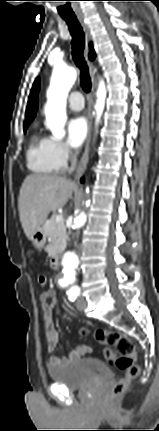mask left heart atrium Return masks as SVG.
Instances as JSON below:
<instances>
[{
	"label": "left heart atrium",
	"mask_w": 159,
	"mask_h": 431,
	"mask_svg": "<svg viewBox=\"0 0 159 431\" xmlns=\"http://www.w3.org/2000/svg\"><path fill=\"white\" fill-rule=\"evenodd\" d=\"M68 141L71 146L79 147L87 136V121L84 117L78 116L71 119L67 126Z\"/></svg>",
	"instance_id": "1"
}]
</instances>
